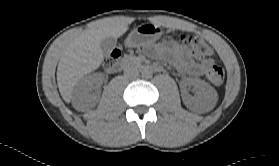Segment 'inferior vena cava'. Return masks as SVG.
Wrapping results in <instances>:
<instances>
[{"label": "inferior vena cava", "instance_id": "inferior-vena-cava-1", "mask_svg": "<svg viewBox=\"0 0 279 166\" xmlns=\"http://www.w3.org/2000/svg\"><path fill=\"white\" fill-rule=\"evenodd\" d=\"M138 74H139L138 71L135 69H129V70L124 71V75L127 78H136L138 76Z\"/></svg>", "mask_w": 279, "mask_h": 166}]
</instances>
